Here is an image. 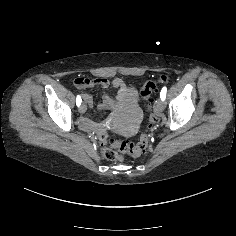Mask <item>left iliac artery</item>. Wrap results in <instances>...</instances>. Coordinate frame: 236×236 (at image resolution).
<instances>
[{"mask_svg":"<svg viewBox=\"0 0 236 236\" xmlns=\"http://www.w3.org/2000/svg\"><path fill=\"white\" fill-rule=\"evenodd\" d=\"M166 92H167V88L163 87L161 92H160V98L164 101L166 98Z\"/></svg>","mask_w":236,"mask_h":236,"instance_id":"1","label":"left iliac artery"}]
</instances>
